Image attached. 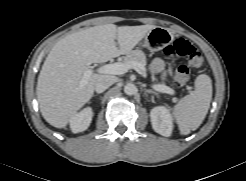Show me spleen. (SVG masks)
Segmentation results:
<instances>
[{
    "label": "spleen",
    "instance_id": "spleen-1",
    "mask_svg": "<svg viewBox=\"0 0 246 181\" xmlns=\"http://www.w3.org/2000/svg\"><path fill=\"white\" fill-rule=\"evenodd\" d=\"M212 100V81L201 74L195 79V90L181 98L172 108L180 133L189 134L196 130L205 119Z\"/></svg>",
    "mask_w": 246,
    "mask_h": 181
}]
</instances>
